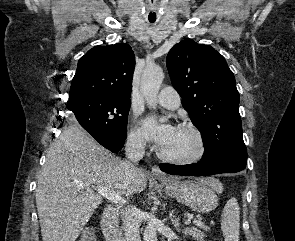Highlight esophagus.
I'll list each match as a JSON object with an SVG mask.
<instances>
[{
    "mask_svg": "<svg viewBox=\"0 0 295 241\" xmlns=\"http://www.w3.org/2000/svg\"><path fill=\"white\" fill-rule=\"evenodd\" d=\"M151 174L153 177L158 179H168L167 175L164 174L157 165L152 166Z\"/></svg>",
    "mask_w": 295,
    "mask_h": 241,
    "instance_id": "esophagus-1",
    "label": "esophagus"
}]
</instances>
